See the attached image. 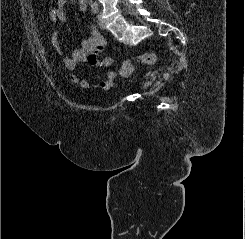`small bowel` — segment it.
I'll return each mask as SVG.
<instances>
[{"label":"small bowel","instance_id":"small-bowel-1","mask_svg":"<svg viewBox=\"0 0 245 239\" xmlns=\"http://www.w3.org/2000/svg\"><path fill=\"white\" fill-rule=\"evenodd\" d=\"M65 5L66 0H56L54 6L50 9V18L53 23H62L65 20ZM78 7L80 11L85 12L88 7L87 0H79ZM57 30L54 34L55 48L59 51ZM106 41L100 34L95 25L89 28L88 36L82 41L80 47L75 50L70 56L63 59L65 69L69 72L70 80L82 89L100 88L102 90H110L118 80V72L115 70L108 71L102 81H99L97 76L90 79H84L79 76L76 66L82 62H88L95 68H107L115 64L112 57L100 58L99 54L105 48Z\"/></svg>","mask_w":245,"mask_h":239}]
</instances>
